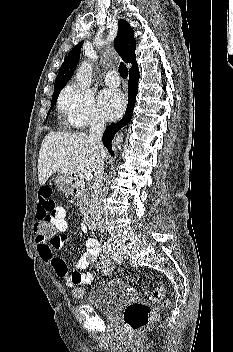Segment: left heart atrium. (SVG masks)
Segmentation results:
<instances>
[{
  "label": "left heart atrium",
  "mask_w": 233,
  "mask_h": 352,
  "mask_svg": "<svg viewBox=\"0 0 233 352\" xmlns=\"http://www.w3.org/2000/svg\"><path fill=\"white\" fill-rule=\"evenodd\" d=\"M99 106L105 117L114 120L122 114L125 107V98L118 90L106 89L99 95Z\"/></svg>",
  "instance_id": "left-heart-atrium-1"
}]
</instances>
